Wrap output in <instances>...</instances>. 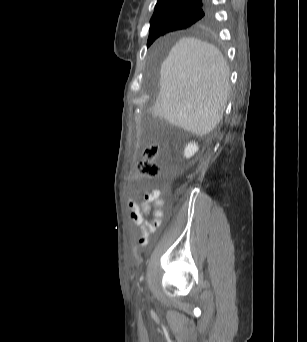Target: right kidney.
Here are the masks:
<instances>
[{"label":"right kidney","instance_id":"obj_1","mask_svg":"<svg viewBox=\"0 0 307 342\" xmlns=\"http://www.w3.org/2000/svg\"><path fill=\"white\" fill-rule=\"evenodd\" d=\"M199 148L195 142H190V144H187L185 150H184V158H192L196 152H198Z\"/></svg>","mask_w":307,"mask_h":342}]
</instances>
